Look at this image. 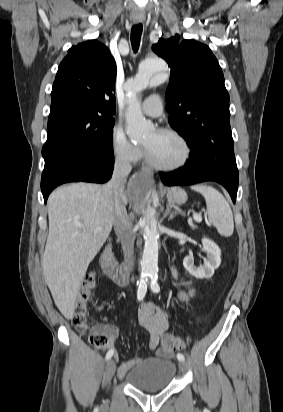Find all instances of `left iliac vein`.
Returning <instances> with one entry per match:
<instances>
[{
	"instance_id": "4c4485c4",
	"label": "left iliac vein",
	"mask_w": 283,
	"mask_h": 412,
	"mask_svg": "<svg viewBox=\"0 0 283 412\" xmlns=\"http://www.w3.org/2000/svg\"><path fill=\"white\" fill-rule=\"evenodd\" d=\"M179 368L181 371H186L187 370V364L184 361L179 362Z\"/></svg>"
}]
</instances>
